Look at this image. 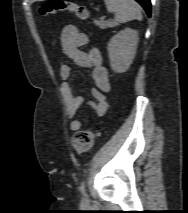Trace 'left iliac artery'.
Instances as JSON below:
<instances>
[{
	"instance_id": "44dca946",
	"label": "left iliac artery",
	"mask_w": 188,
	"mask_h": 213,
	"mask_svg": "<svg viewBox=\"0 0 188 213\" xmlns=\"http://www.w3.org/2000/svg\"><path fill=\"white\" fill-rule=\"evenodd\" d=\"M80 191L83 193V194H85V182L84 181H82L81 182V186H80Z\"/></svg>"
}]
</instances>
